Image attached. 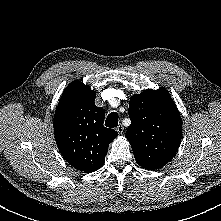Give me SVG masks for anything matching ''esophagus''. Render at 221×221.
Wrapping results in <instances>:
<instances>
[{
    "label": "esophagus",
    "mask_w": 221,
    "mask_h": 221,
    "mask_svg": "<svg viewBox=\"0 0 221 221\" xmlns=\"http://www.w3.org/2000/svg\"><path fill=\"white\" fill-rule=\"evenodd\" d=\"M116 131L118 132V134H123L124 132V127L122 124H119L117 127H116Z\"/></svg>",
    "instance_id": "34e87169"
}]
</instances>
